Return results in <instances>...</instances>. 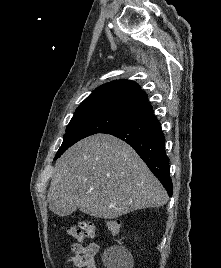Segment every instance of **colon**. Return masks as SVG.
Masks as SVG:
<instances>
[{
	"label": "colon",
	"mask_w": 221,
	"mask_h": 268,
	"mask_svg": "<svg viewBox=\"0 0 221 268\" xmlns=\"http://www.w3.org/2000/svg\"><path fill=\"white\" fill-rule=\"evenodd\" d=\"M107 228L113 234H118L121 229V225L116 220L107 221ZM68 233L77 241L84 242L92 239L95 235V225L90 222H82L79 225H73L68 227Z\"/></svg>",
	"instance_id": "1"
}]
</instances>
